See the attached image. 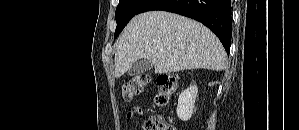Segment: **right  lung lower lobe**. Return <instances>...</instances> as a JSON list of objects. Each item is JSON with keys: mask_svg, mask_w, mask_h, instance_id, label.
I'll use <instances>...</instances> for the list:
<instances>
[{"mask_svg": "<svg viewBox=\"0 0 299 130\" xmlns=\"http://www.w3.org/2000/svg\"><path fill=\"white\" fill-rule=\"evenodd\" d=\"M163 10L195 19L212 30L230 52L232 17L230 0H147L138 13Z\"/></svg>", "mask_w": 299, "mask_h": 130, "instance_id": "right-lung-lower-lobe-1", "label": "right lung lower lobe"}]
</instances>
